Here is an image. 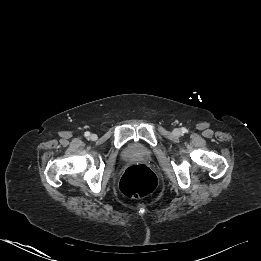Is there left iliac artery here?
<instances>
[{
  "instance_id": "obj_1",
  "label": "left iliac artery",
  "mask_w": 261,
  "mask_h": 261,
  "mask_svg": "<svg viewBox=\"0 0 261 261\" xmlns=\"http://www.w3.org/2000/svg\"><path fill=\"white\" fill-rule=\"evenodd\" d=\"M186 131V129H183V133Z\"/></svg>"
}]
</instances>
